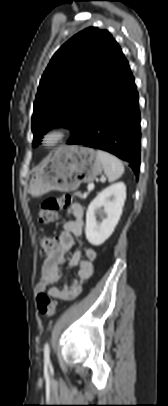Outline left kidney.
Wrapping results in <instances>:
<instances>
[{
    "label": "left kidney",
    "mask_w": 168,
    "mask_h": 406,
    "mask_svg": "<svg viewBox=\"0 0 168 406\" xmlns=\"http://www.w3.org/2000/svg\"><path fill=\"white\" fill-rule=\"evenodd\" d=\"M125 199L126 186L118 182L102 190L89 204L85 225L89 243L99 246L112 235L120 220Z\"/></svg>",
    "instance_id": "1"
}]
</instances>
